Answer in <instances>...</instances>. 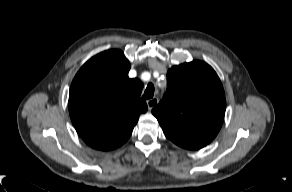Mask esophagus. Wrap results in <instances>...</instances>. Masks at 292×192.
I'll use <instances>...</instances> for the list:
<instances>
[{"label":"esophagus","mask_w":292,"mask_h":192,"mask_svg":"<svg viewBox=\"0 0 292 192\" xmlns=\"http://www.w3.org/2000/svg\"><path fill=\"white\" fill-rule=\"evenodd\" d=\"M157 104H158L157 98H152V99L147 100V106L149 110L153 109Z\"/></svg>","instance_id":"esophagus-1"}]
</instances>
